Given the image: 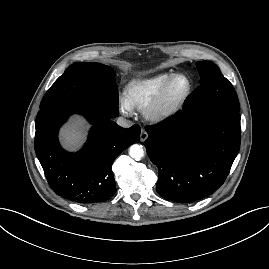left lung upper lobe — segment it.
Returning a JSON list of instances; mask_svg holds the SVG:
<instances>
[{"instance_id": "left-lung-upper-lobe-1", "label": "left lung upper lobe", "mask_w": 269, "mask_h": 269, "mask_svg": "<svg viewBox=\"0 0 269 269\" xmlns=\"http://www.w3.org/2000/svg\"><path fill=\"white\" fill-rule=\"evenodd\" d=\"M196 66L201 78L200 86L185 101L181 112L193 115L219 108L239 110L236 92L217 65L202 61Z\"/></svg>"}]
</instances>
